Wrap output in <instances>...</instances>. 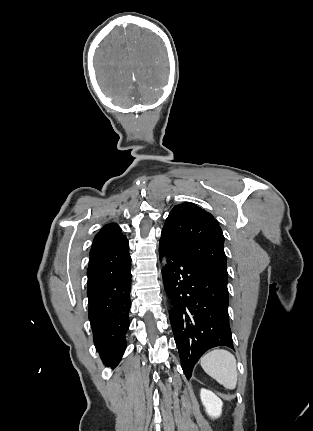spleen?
Returning a JSON list of instances; mask_svg holds the SVG:
<instances>
[{
	"mask_svg": "<svg viewBox=\"0 0 313 431\" xmlns=\"http://www.w3.org/2000/svg\"><path fill=\"white\" fill-rule=\"evenodd\" d=\"M203 370L226 389L236 388L238 373L233 354L223 349H215L200 360Z\"/></svg>",
	"mask_w": 313,
	"mask_h": 431,
	"instance_id": "spleen-1",
	"label": "spleen"
}]
</instances>
